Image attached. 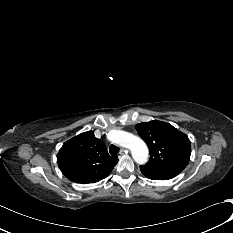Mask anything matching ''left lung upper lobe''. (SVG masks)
I'll return each mask as SVG.
<instances>
[{
  "instance_id": "1",
  "label": "left lung upper lobe",
  "mask_w": 233,
  "mask_h": 233,
  "mask_svg": "<svg viewBox=\"0 0 233 233\" xmlns=\"http://www.w3.org/2000/svg\"><path fill=\"white\" fill-rule=\"evenodd\" d=\"M136 130L150 151L148 163L140 166L147 178L168 180L187 166L191 145L186 134L171 124L158 120L139 123Z\"/></svg>"
}]
</instances>
